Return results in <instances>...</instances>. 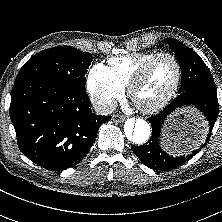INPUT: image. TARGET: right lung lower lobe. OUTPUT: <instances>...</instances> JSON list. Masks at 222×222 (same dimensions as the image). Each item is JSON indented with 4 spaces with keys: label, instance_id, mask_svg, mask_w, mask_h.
<instances>
[{
    "label": "right lung lower lobe",
    "instance_id": "obj_1",
    "mask_svg": "<svg viewBox=\"0 0 222 222\" xmlns=\"http://www.w3.org/2000/svg\"><path fill=\"white\" fill-rule=\"evenodd\" d=\"M85 91L30 79L14 83L10 118L18 147L37 165L60 171L78 164L111 116L92 112Z\"/></svg>",
    "mask_w": 222,
    "mask_h": 222
}]
</instances>
